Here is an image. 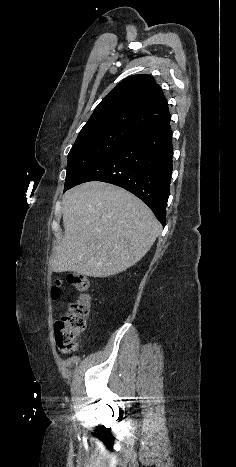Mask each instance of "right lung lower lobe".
I'll return each instance as SVG.
<instances>
[{"label":"right lung lower lobe","mask_w":236,"mask_h":467,"mask_svg":"<svg viewBox=\"0 0 236 467\" xmlns=\"http://www.w3.org/2000/svg\"><path fill=\"white\" fill-rule=\"evenodd\" d=\"M171 117L146 128L90 166L64 192L88 181L120 186L146 203L164 226L172 173Z\"/></svg>","instance_id":"right-lung-lower-lobe-1"}]
</instances>
